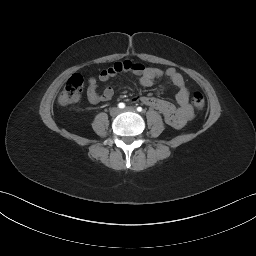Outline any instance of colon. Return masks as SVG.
<instances>
[{
	"instance_id": "colon-1",
	"label": "colon",
	"mask_w": 256,
	"mask_h": 256,
	"mask_svg": "<svg viewBox=\"0 0 256 256\" xmlns=\"http://www.w3.org/2000/svg\"><path fill=\"white\" fill-rule=\"evenodd\" d=\"M84 87V78L81 74L75 73L71 75L59 96V103L61 105H71L76 103L82 94ZM192 105L195 109L201 110L205 106V97L202 93L196 92L191 99Z\"/></svg>"
}]
</instances>
